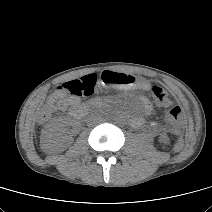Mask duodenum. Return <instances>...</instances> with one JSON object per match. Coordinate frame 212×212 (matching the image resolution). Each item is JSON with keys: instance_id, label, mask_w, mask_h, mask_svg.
<instances>
[{"instance_id": "duodenum-1", "label": "duodenum", "mask_w": 212, "mask_h": 212, "mask_svg": "<svg viewBox=\"0 0 212 212\" xmlns=\"http://www.w3.org/2000/svg\"><path fill=\"white\" fill-rule=\"evenodd\" d=\"M88 111V106L86 105H75L71 110V116L75 120L82 119Z\"/></svg>"}]
</instances>
